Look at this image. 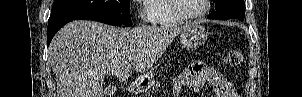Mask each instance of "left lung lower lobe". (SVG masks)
Here are the masks:
<instances>
[{
  "label": "left lung lower lobe",
  "mask_w": 302,
  "mask_h": 97,
  "mask_svg": "<svg viewBox=\"0 0 302 97\" xmlns=\"http://www.w3.org/2000/svg\"><path fill=\"white\" fill-rule=\"evenodd\" d=\"M207 18H209V19H216L212 15H209Z\"/></svg>",
  "instance_id": "1"
}]
</instances>
